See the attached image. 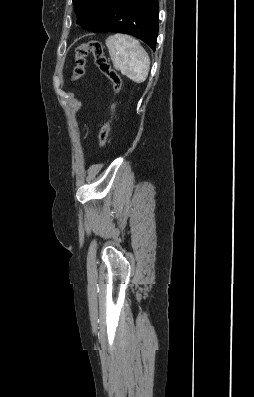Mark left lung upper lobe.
Returning a JSON list of instances; mask_svg holds the SVG:
<instances>
[{"instance_id":"5c2ea615","label":"left lung upper lobe","mask_w":254,"mask_h":397,"mask_svg":"<svg viewBox=\"0 0 254 397\" xmlns=\"http://www.w3.org/2000/svg\"><path fill=\"white\" fill-rule=\"evenodd\" d=\"M107 0H73L79 24L85 30H93L102 20Z\"/></svg>"}]
</instances>
